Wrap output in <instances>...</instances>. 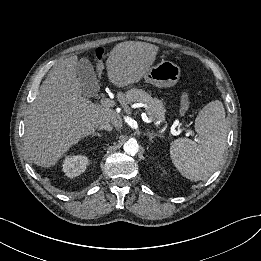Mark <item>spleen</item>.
<instances>
[{
  "instance_id": "1",
  "label": "spleen",
  "mask_w": 261,
  "mask_h": 261,
  "mask_svg": "<svg viewBox=\"0 0 261 261\" xmlns=\"http://www.w3.org/2000/svg\"><path fill=\"white\" fill-rule=\"evenodd\" d=\"M195 130L200 141L174 140L170 145V157L178 171L189 180H207L219 167L226 148L227 123L222 102L212 101L200 110Z\"/></svg>"
}]
</instances>
